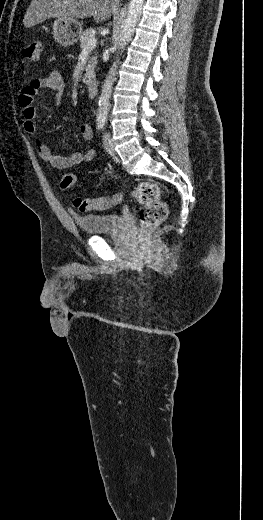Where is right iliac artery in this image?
I'll return each mask as SVG.
<instances>
[{"instance_id":"1","label":"right iliac artery","mask_w":263,"mask_h":520,"mask_svg":"<svg viewBox=\"0 0 263 520\" xmlns=\"http://www.w3.org/2000/svg\"><path fill=\"white\" fill-rule=\"evenodd\" d=\"M104 124H105L104 121H98L97 122V129L101 131L103 129V127H104Z\"/></svg>"}]
</instances>
